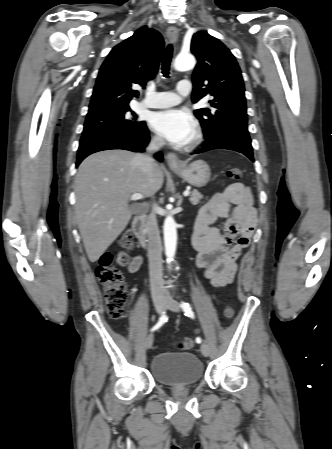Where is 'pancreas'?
Wrapping results in <instances>:
<instances>
[{
  "label": "pancreas",
  "instance_id": "1",
  "mask_svg": "<svg viewBox=\"0 0 332 449\" xmlns=\"http://www.w3.org/2000/svg\"><path fill=\"white\" fill-rule=\"evenodd\" d=\"M203 198V196H202V194L200 193V192H198L197 190H193L192 192H191V195H190V202L193 204V205H196V204H198L199 202H200V200Z\"/></svg>",
  "mask_w": 332,
  "mask_h": 449
}]
</instances>
